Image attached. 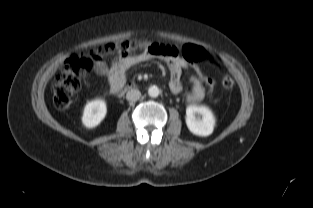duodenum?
<instances>
[{"mask_svg": "<svg viewBox=\"0 0 313 208\" xmlns=\"http://www.w3.org/2000/svg\"><path fill=\"white\" fill-rule=\"evenodd\" d=\"M133 88V84H126V85H121L119 87L116 88V90L118 91V93H121L123 91L129 90Z\"/></svg>", "mask_w": 313, "mask_h": 208, "instance_id": "obj_1", "label": "duodenum"}]
</instances>
